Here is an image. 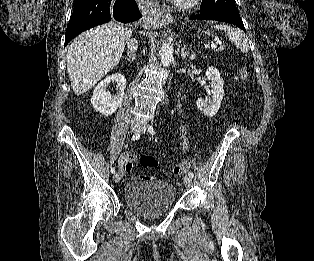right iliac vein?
<instances>
[{"label": "right iliac vein", "mask_w": 314, "mask_h": 261, "mask_svg": "<svg viewBox=\"0 0 314 261\" xmlns=\"http://www.w3.org/2000/svg\"><path fill=\"white\" fill-rule=\"evenodd\" d=\"M141 125L138 121H133L130 125L132 132H137L140 129ZM113 180L118 183L121 180V175L119 172L114 173Z\"/></svg>", "instance_id": "1"}]
</instances>
